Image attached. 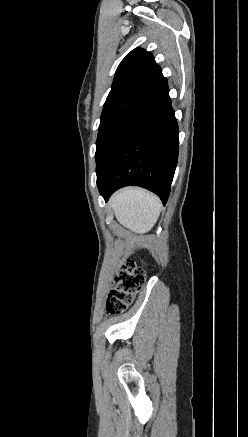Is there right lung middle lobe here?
Returning <instances> with one entry per match:
<instances>
[{"mask_svg": "<svg viewBox=\"0 0 248 437\" xmlns=\"http://www.w3.org/2000/svg\"><path fill=\"white\" fill-rule=\"evenodd\" d=\"M139 94V92L127 93L104 104L96 142V162L108 145L111 137L121 126L124 117Z\"/></svg>", "mask_w": 248, "mask_h": 437, "instance_id": "dd1d6c3e", "label": "right lung middle lobe"}]
</instances>
